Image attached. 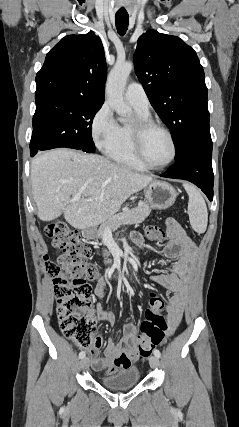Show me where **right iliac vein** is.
<instances>
[{"label": "right iliac vein", "mask_w": 239, "mask_h": 427, "mask_svg": "<svg viewBox=\"0 0 239 427\" xmlns=\"http://www.w3.org/2000/svg\"><path fill=\"white\" fill-rule=\"evenodd\" d=\"M81 368H87L89 366V358L84 357L80 362Z\"/></svg>", "instance_id": "1"}]
</instances>
